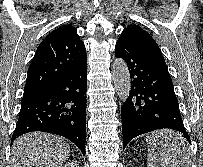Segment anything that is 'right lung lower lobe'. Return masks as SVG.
<instances>
[{
	"label": "right lung lower lobe",
	"mask_w": 203,
	"mask_h": 167,
	"mask_svg": "<svg viewBox=\"0 0 203 167\" xmlns=\"http://www.w3.org/2000/svg\"><path fill=\"white\" fill-rule=\"evenodd\" d=\"M87 57L43 92L23 96L11 141L44 131L68 138L85 154Z\"/></svg>",
	"instance_id": "right-lung-lower-lobe-1"
}]
</instances>
